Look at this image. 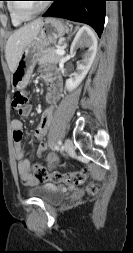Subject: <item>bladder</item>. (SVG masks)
Masks as SVG:
<instances>
[{
    "label": "bladder",
    "mask_w": 133,
    "mask_h": 253,
    "mask_svg": "<svg viewBox=\"0 0 133 253\" xmlns=\"http://www.w3.org/2000/svg\"><path fill=\"white\" fill-rule=\"evenodd\" d=\"M28 194L48 204H58L65 197L61 189L50 185L34 186L28 190Z\"/></svg>",
    "instance_id": "obj_1"
}]
</instances>
